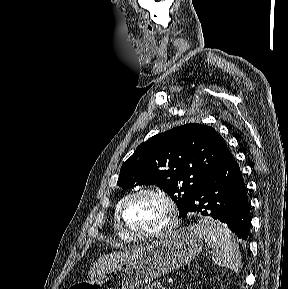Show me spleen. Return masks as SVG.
<instances>
[{"instance_id":"1","label":"spleen","mask_w":288,"mask_h":289,"mask_svg":"<svg viewBox=\"0 0 288 289\" xmlns=\"http://www.w3.org/2000/svg\"><path fill=\"white\" fill-rule=\"evenodd\" d=\"M213 250L212 260L219 266H224L235 273L242 268L239 246L227 227L210 218H202L192 226Z\"/></svg>"}]
</instances>
